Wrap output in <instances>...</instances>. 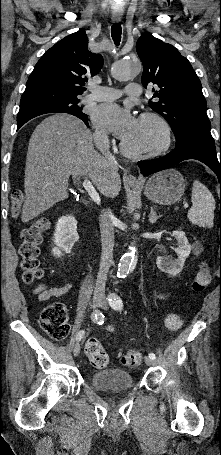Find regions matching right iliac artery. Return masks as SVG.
Segmentation results:
<instances>
[{
  "label": "right iliac artery",
  "mask_w": 221,
  "mask_h": 455,
  "mask_svg": "<svg viewBox=\"0 0 221 455\" xmlns=\"http://www.w3.org/2000/svg\"><path fill=\"white\" fill-rule=\"evenodd\" d=\"M104 317H105L104 314L100 310H95L91 314V319L99 325L104 323ZM84 334L85 332L83 330L79 331L76 336V340L80 341L84 337Z\"/></svg>",
  "instance_id": "right-iliac-artery-1"
}]
</instances>
